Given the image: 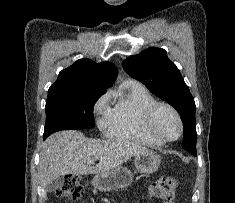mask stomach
Listing matches in <instances>:
<instances>
[{"mask_svg":"<svg viewBox=\"0 0 235 203\" xmlns=\"http://www.w3.org/2000/svg\"><path fill=\"white\" fill-rule=\"evenodd\" d=\"M160 161V156L152 150H144L134 156L136 170L144 174L155 172ZM132 181V172L126 167L119 166L113 170L96 174L92 184L100 191H113L129 186Z\"/></svg>","mask_w":235,"mask_h":203,"instance_id":"stomach-1","label":"stomach"}]
</instances>
